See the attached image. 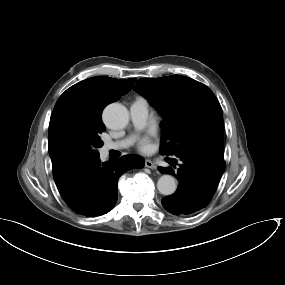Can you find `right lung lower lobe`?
I'll list each match as a JSON object with an SVG mask.
<instances>
[{
	"label": "right lung lower lobe",
	"mask_w": 285,
	"mask_h": 285,
	"mask_svg": "<svg viewBox=\"0 0 285 285\" xmlns=\"http://www.w3.org/2000/svg\"><path fill=\"white\" fill-rule=\"evenodd\" d=\"M145 161L134 155H125L111 162L100 158L71 169L55 181L65 203L75 213L95 217L108 213L117 201L119 177L133 168H143Z\"/></svg>",
	"instance_id": "obj_1"
}]
</instances>
